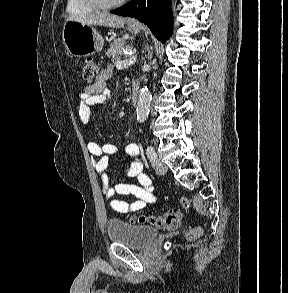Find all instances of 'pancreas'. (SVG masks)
Wrapping results in <instances>:
<instances>
[{
  "instance_id": "cf45deb5",
  "label": "pancreas",
  "mask_w": 288,
  "mask_h": 293,
  "mask_svg": "<svg viewBox=\"0 0 288 293\" xmlns=\"http://www.w3.org/2000/svg\"><path fill=\"white\" fill-rule=\"evenodd\" d=\"M126 48L125 39L119 38L115 39L111 44L109 49L106 52L108 57H112V61H119L121 56L123 55L122 50Z\"/></svg>"
}]
</instances>
